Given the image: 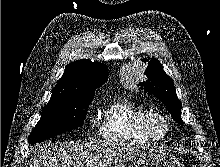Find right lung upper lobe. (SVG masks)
<instances>
[{
    "label": "right lung upper lobe",
    "mask_w": 220,
    "mask_h": 167,
    "mask_svg": "<svg viewBox=\"0 0 220 167\" xmlns=\"http://www.w3.org/2000/svg\"><path fill=\"white\" fill-rule=\"evenodd\" d=\"M108 68L105 64L83 59L71 62L53 88L50 100L80 94H94L106 82Z\"/></svg>",
    "instance_id": "cb5924a9"
}]
</instances>
